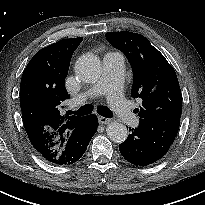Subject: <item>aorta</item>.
I'll return each mask as SVG.
<instances>
[{"label": "aorta", "mask_w": 205, "mask_h": 205, "mask_svg": "<svg viewBox=\"0 0 205 205\" xmlns=\"http://www.w3.org/2000/svg\"><path fill=\"white\" fill-rule=\"evenodd\" d=\"M76 76L85 83H95L101 76L102 68L99 58L93 54H84L78 58L75 64ZM107 135L115 143H122L128 136L127 128L118 122L108 125Z\"/></svg>", "instance_id": "obj_1"}]
</instances>
